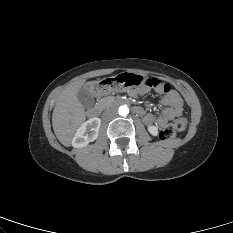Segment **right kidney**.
I'll use <instances>...</instances> for the list:
<instances>
[{
    "label": "right kidney",
    "instance_id": "obj_1",
    "mask_svg": "<svg viewBox=\"0 0 233 233\" xmlns=\"http://www.w3.org/2000/svg\"><path fill=\"white\" fill-rule=\"evenodd\" d=\"M100 126V118L95 117L84 122L73 137L72 146L75 148H82L87 146L90 142L96 140Z\"/></svg>",
    "mask_w": 233,
    "mask_h": 233
}]
</instances>
